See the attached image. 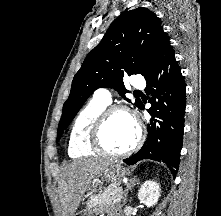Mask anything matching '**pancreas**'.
<instances>
[{
  "label": "pancreas",
  "instance_id": "pancreas-1",
  "mask_svg": "<svg viewBox=\"0 0 221 216\" xmlns=\"http://www.w3.org/2000/svg\"><path fill=\"white\" fill-rule=\"evenodd\" d=\"M122 199V189L118 184H112L107 189L100 191L98 195L93 196L88 205L94 207L96 205L108 206L119 204Z\"/></svg>",
  "mask_w": 221,
  "mask_h": 216
}]
</instances>
